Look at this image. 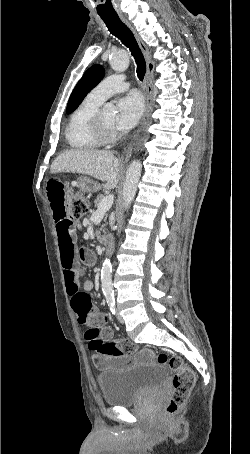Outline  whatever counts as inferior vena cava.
Here are the masks:
<instances>
[{
  "label": "inferior vena cava",
  "mask_w": 250,
  "mask_h": 454,
  "mask_svg": "<svg viewBox=\"0 0 250 454\" xmlns=\"http://www.w3.org/2000/svg\"><path fill=\"white\" fill-rule=\"evenodd\" d=\"M113 252H114V247L111 246V247L109 248V254H112Z\"/></svg>",
  "instance_id": "inferior-vena-cava-1"
}]
</instances>
